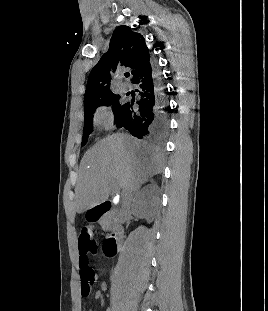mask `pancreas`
Returning a JSON list of instances; mask_svg holds the SVG:
<instances>
[{
  "mask_svg": "<svg viewBox=\"0 0 268 311\" xmlns=\"http://www.w3.org/2000/svg\"><path fill=\"white\" fill-rule=\"evenodd\" d=\"M113 225L110 216H105L101 220V226L104 231H109Z\"/></svg>",
  "mask_w": 268,
  "mask_h": 311,
  "instance_id": "cf45deb5",
  "label": "pancreas"
}]
</instances>
